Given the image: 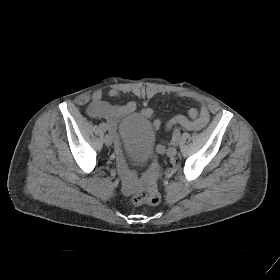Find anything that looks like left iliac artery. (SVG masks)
Listing matches in <instances>:
<instances>
[{
    "instance_id": "44dca946",
    "label": "left iliac artery",
    "mask_w": 280,
    "mask_h": 280,
    "mask_svg": "<svg viewBox=\"0 0 280 280\" xmlns=\"http://www.w3.org/2000/svg\"><path fill=\"white\" fill-rule=\"evenodd\" d=\"M180 129L179 128H175L174 131H173V134H172V145L173 146H178L179 144V140H180Z\"/></svg>"
}]
</instances>
